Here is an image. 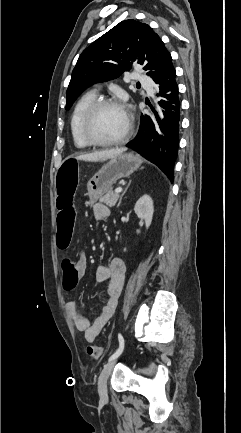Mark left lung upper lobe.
I'll return each instance as SVG.
<instances>
[{"mask_svg": "<svg viewBox=\"0 0 241 433\" xmlns=\"http://www.w3.org/2000/svg\"><path fill=\"white\" fill-rule=\"evenodd\" d=\"M134 63L142 65L156 82L172 64V58L149 25L130 19L117 24L82 52L66 92V108L90 85L115 79Z\"/></svg>", "mask_w": 241, "mask_h": 433, "instance_id": "left-lung-upper-lobe-1", "label": "left lung upper lobe"}]
</instances>
